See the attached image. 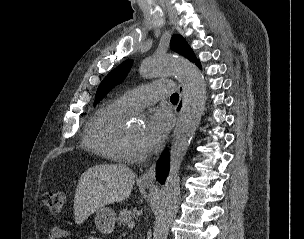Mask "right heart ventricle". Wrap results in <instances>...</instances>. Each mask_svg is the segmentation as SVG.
I'll use <instances>...</instances> for the list:
<instances>
[{
	"label": "right heart ventricle",
	"instance_id": "e07e8e85",
	"mask_svg": "<svg viewBox=\"0 0 304 239\" xmlns=\"http://www.w3.org/2000/svg\"><path fill=\"white\" fill-rule=\"evenodd\" d=\"M130 110L120 99L100 108L86 125L82 141L84 147L107 160H123L119 141L125 128L123 117Z\"/></svg>",
	"mask_w": 304,
	"mask_h": 239
}]
</instances>
